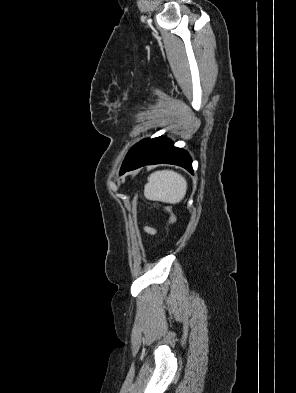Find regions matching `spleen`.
<instances>
[{"mask_svg":"<svg viewBox=\"0 0 296 393\" xmlns=\"http://www.w3.org/2000/svg\"><path fill=\"white\" fill-rule=\"evenodd\" d=\"M187 181L172 170L156 171L148 177L144 187V196L148 200L166 203H178L186 194Z\"/></svg>","mask_w":296,"mask_h":393,"instance_id":"1","label":"spleen"}]
</instances>
